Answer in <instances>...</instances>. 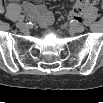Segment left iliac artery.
Wrapping results in <instances>:
<instances>
[{
    "label": "left iliac artery",
    "mask_w": 103,
    "mask_h": 103,
    "mask_svg": "<svg viewBox=\"0 0 103 103\" xmlns=\"http://www.w3.org/2000/svg\"><path fill=\"white\" fill-rule=\"evenodd\" d=\"M90 21L89 20H84V22H83V24L85 25V26H89L90 25Z\"/></svg>",
    "instance_id": "left-iliac-artery-1"
}]
</instances>
